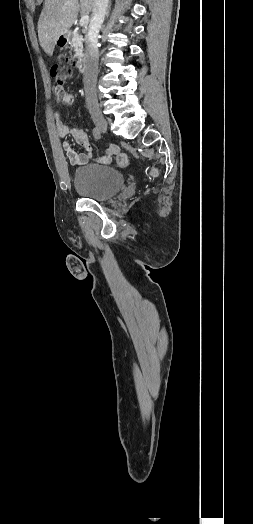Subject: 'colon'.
<instances>
[{
	"instance_id": "colon-1",
	"label": "colon",
	"mask_w": 253,
	"mask_h": 524,
	"mask_svg": "<svg viewBox=\"0 0 253 524\" xmlns=\"http://www.w3.org/2000/svg\"><path fill=\"white\" fill-rule=\"evenodd\" d=\"M62 65H53L50 68V74L55 80V89L61 90L65 81L71 75L72 69L77 64V55L75 53H64L62 55ZM130 162V158L126 153H119L117 155V163L119 166H126ZM150 174L157 176L158 170L152 168Z\"/></svg>"
}]
</instances>
